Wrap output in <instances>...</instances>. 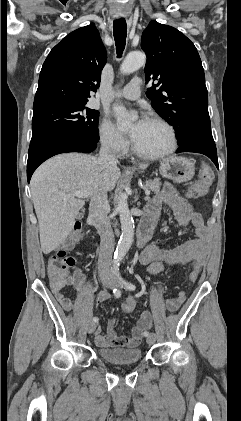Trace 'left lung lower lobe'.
<instances>
[{
  "mask_svg": "<svg viewBox=\"0 0 241 421\" xmlns=\"http://www.w3.org/2000/svg\"><path fill=\"white\" fill-rule=\"evenodd\" d=\"M196 152L208 156L218 168L217 150L212 136L211 126H204L197 130L188 140L179 144L176 151Z\"/></svg>",
  "mask_w": 241,
  "mask_h": 421,
  "instance_id": "0a47b994",
  "label": "left lung lower lobe"
}]
</instances>
